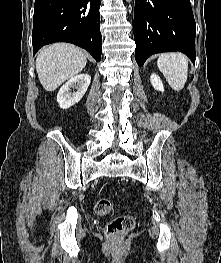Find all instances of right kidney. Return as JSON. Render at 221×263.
I'll use <instances>...</instances> for the list:
<instances>
[{"mask_svg":"<svg viewBox=\"0 0 221 263\" xmlns=\"http://www.w3.org/2000/svg\"><path fill=\"white\" fill-rule=\"evenodd\" d=\"M91 77L88 74H79L69 79L59 90L57 102L60 108L67 109L78 103L90 85ZM75 88L76 92H71Z\"/></svg>","mask_w":221,"mask_h":263,"instance_id":"obj_1","label":"right kidney"}]
</instances>
